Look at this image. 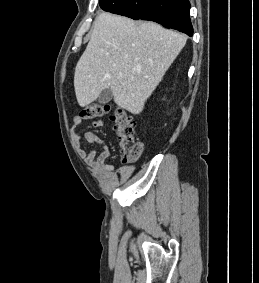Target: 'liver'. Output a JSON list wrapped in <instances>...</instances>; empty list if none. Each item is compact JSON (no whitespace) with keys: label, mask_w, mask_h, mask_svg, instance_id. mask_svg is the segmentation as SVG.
Masks as SVG:
<instances>
[{"label":"liver","mask_w":259,"mask_h":283,"mask_svg":"<svg viewBox=\"0 0 259 283\" xmlns=\"http://www.w3.org/2000/svg\"><path fill=\"white\" fill-rule=\"evenodd\" d=\"M186 40L154 22L100 13L75 68L79 105H89L110 88L119 107L140 114Z\"/></svg>","instance_id":"6515ba94"}]
</instances>
